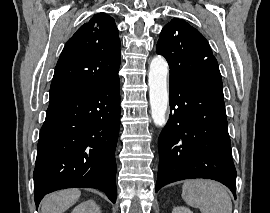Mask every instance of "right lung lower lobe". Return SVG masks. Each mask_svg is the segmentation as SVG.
Returning <instances> with one entry per match:
<instances>
[{
	"mask_svg": "<svg viewBox=\"0 0 270 213\" xmlns=\"http://www.w3.org/2000/svg\"><path fill=\"white\" fill-rule=\"evenodd\" d=\"M119 120V78L50 100L33 173L36 207L46 194L72 187L100 189L116 202Z\"/></svg>",
	"mask_w": 270,
	"mask_h": 213,
	"instance_id": "1",
	"label": "right lung lower lobe"
}]
</instances>
